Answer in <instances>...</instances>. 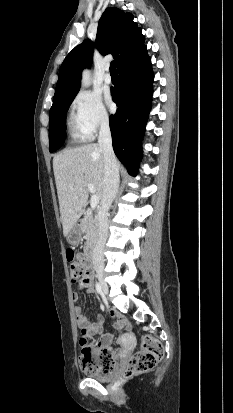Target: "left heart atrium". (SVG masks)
Here are the masks:
<instances>
[{
	"label": "left heart atrium",
	"mask_w": 233,
	"mask_h": 413,
	"mask_svg": "<svg viewBox=\"0 0 233 413\" xmlns=\"http://www.w3.org/2000/svg\"><path fill=\"white\" fill-rule=\"evenodd\" d=\"M106 101H107V104H108V106H109L110 108H113V107H114V103H113V101H112V99H111L110 96H106Z\"/></svg>",
	"instance_id": "left-heart-atrium-1"
}]
</instances>
